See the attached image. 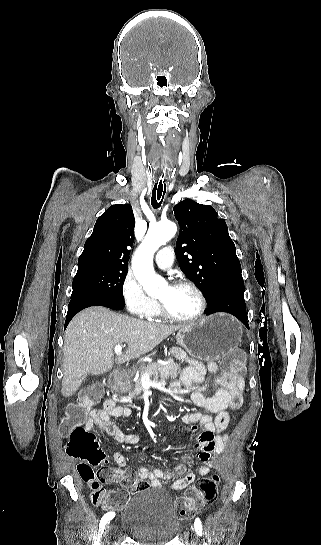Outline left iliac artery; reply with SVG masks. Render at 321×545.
Segmentation results:
<instances>
[{"label": "left iliac artery", "mask_w": 321, "mask_h": 545, "mask_svg": "<svg viewBox=\"0 0 321 545\" xmlns=\"http://www.w3.org/2000/svg\"><path fill=\"white\" fill-rule=\"evenodd\" d=\"M194 525H195V531L197 532V534H198L199 536H202V534H203V533H202L203 529H202V523H201V521H200L199 518H196ZM203 545H207V544L204 543Z\"/></svg>", "instance_id": "44dca946"}]
</instances>
